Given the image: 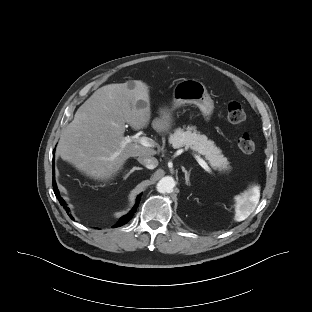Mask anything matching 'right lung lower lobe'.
I'll return each mask as SVG.
<instances>
[{
  "mask_svg": "<svg viewBox=\"0 0 312 312\" xmlns=\"http://www.w3.org/2000/svg\"><path fill=\"white\" fill-rule=\"evenodd\" d=\"M52 172H53V175H54V151H53V162H52ZM53 190H54V193L57 197V199L59 200L60 204L67 210V213L68 215L70 216V218H72L71 214H69V208L66 206V203L65 201L62 199V197L59 195V192H58V189H57V186H56V182H55V178L53 177ZM140 201V195L137 197V201H136V204L135 206L133 207L132 211L130 213H128L127 215L123 216L118 224L116 225V227H119V226H122L124 225L125 223H127L134 215V212L136 211L137 207H138V203Z\"/></svg>",
  "mask_w": 312,
  "mask_h": 312,
  "instance_id": "98d812e1",
  "label": "right lung lower lobe"
}]
</instances>
